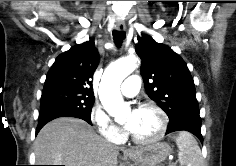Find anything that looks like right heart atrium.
Instances as JSON below:
<instances>
[{
	"mask_svg": "<svg viewBox=\"0 0 236 166\" xmlns=\"http://www.w3.org/2000/svg\"><path fill=\"white\" fill-rule=\"evenodd\" d=\"M90 119L98 132L112 142L121 140V132L112 122L106 111L100 105H94L90 112Z\"/></svg>",
	"mask_w": 236,
	"mask_h": 166,
	"instance_id": "1",
	"label": "right heart atrium"
}]
</instances>
